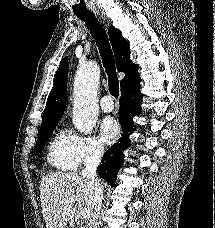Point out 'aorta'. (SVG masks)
Returning <instances> with one entry per match:
<instances>
[{
	"instance_id": "1",
	"label": "aorta",
	"mask_w": 215,
	"mask_h": 228,
	"mask_svg": "<svg viewBox=\"0 0 215 228\" xmlns=\"http://www.w3.org/2000/svg\"><path fill=\"white\" fill-rule=\"evenodd\" d=\"M100 70L95 62L79 68L74 86L73 124L78 132H92L98 120L97 82Z\"/></svg>"
}]
</instances>
